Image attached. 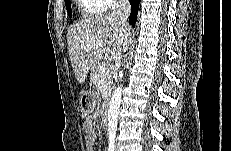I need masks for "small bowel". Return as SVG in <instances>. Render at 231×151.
<instances>
[{"mask_svg":"<svg viewBox=\"0 0 231 151\" xmlns=\"http://www.w3.org/2000/svg\"><path fill=\"white\" fill-rule=\"evenodd\" d=\"M85 131V145L87 151H94L96 134L93 127V118L88 117L83 125Z\"/></svg>","mask_w":231,"mask_h":151,"instance_id":"obj_1","label":"small bowel"}]
</instances>
